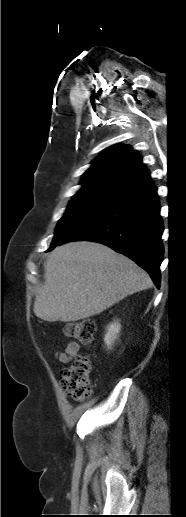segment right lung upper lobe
<instances>
[{
	"label": "right lung upper lobe",
	"instance_id": "right-lung-upper-lobe-1",
	"mask_svg": "<svg viewBox=\"0 0 186 517\" xmlns=\"http://www.w3.org/2000/svg\"><path fill=\"white\" fill-rule=\"evenodd\" d=\"M83 187L74 197L119 201L153 185L139 154L130 146L117 144L97 157L85 172Z\"/></svg>",
	"mask_w": 186,
	"mask_h": 517
}]
</instances>
